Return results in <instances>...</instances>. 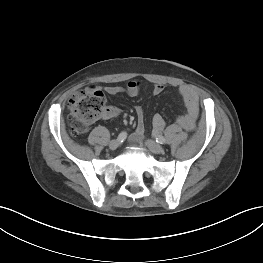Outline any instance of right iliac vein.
I'll list each match as a JSON object with an SVG mask.
<instances>
[{"label": "right iliac vein", "instance_id": "1", "mask_svg": "<svg viewBox=\"0 0 263 263\" xmlns=\"http://www.w3.org/2000/svg\"><path fill=\"white\" fill-rule=\"evenodd\" d=\"M120 142L118 139H115V140H112L110 143H109V148L111 150H116L119 146Z\"/></svg>", "mask_w": 263, "mask_h": 263}]
</instances>
